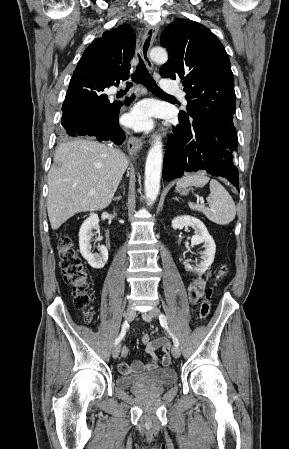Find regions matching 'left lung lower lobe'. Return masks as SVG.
I'll use <instances>...</instances> for the list:
<instances>
[{
	"label": "left lung lower lobe",
	"instance_id": "0a47b994",
	"mask_svg": "<svg viewBox=\"0 0 289 449\" xmlns=\"http://www.w3.org/2000/svg\"><path fill=\"white\" fill-rule=\"evenodd\" d=\"M178 119L180 123L167 141L163 179L170 181L184 172L204 170L238 187L239 171L234 164L236 130L206 119L191 122Z\"/></svg>",
	"mask_w": 289,
	"mask_h": 449
}]
</instances>
